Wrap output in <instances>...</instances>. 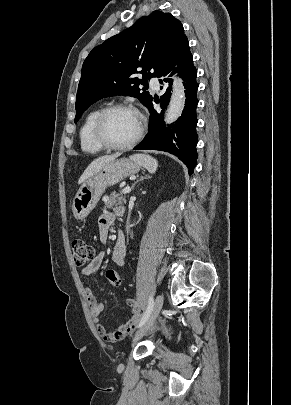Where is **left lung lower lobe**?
Masks as SVG:
<instances>
[{
  "mask_svg": "<svg viewBox=\"0 0 291 405\" xmlns=\"http://www.w3.org/2000/svg\"><path fill=\"white\" fill-rule=\"evenodd\" d=\"M176 72L184 81L186 101L182 115L176 122L166 126L163 121L164 109L167 107L171 96L172 79L170 77ZM196 76L197 69L193 65L189 42L185 37L157 75L161 78L160 83L166 86V92L161 96V108L163 110L156 111L153 108V99L150 101L147 105L151 113L150 131L144 140L134 148V150L169 152L177 156L188 167L190 175L193 173L198 157L196 150L198 136L195 132L198 119L195 109L198 104L196 94L199 85L196 82Z\"/></svg>",
  "mask_w": 291,
  "mask_h": 405,
  "instance_id": "obj_1",
  "label": "left lung lower lobe"
}]
</instances>
